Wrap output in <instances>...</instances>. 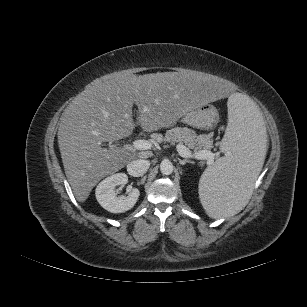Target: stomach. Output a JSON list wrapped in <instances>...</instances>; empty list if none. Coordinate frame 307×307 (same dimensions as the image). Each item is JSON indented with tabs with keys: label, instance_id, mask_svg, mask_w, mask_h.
Masks as SVG:
<instances>
[{
	"label": "stomach",
	"instance_id": "obj_1",
	"mask_svg": "<svg viewBox=\"0 0 307 307\" xmlns=\"http://www.w3.org/2000/svg\"><path fill=\"white\" fill-rule=\"evenodd\" d=\"M218 120V111L210 104H202L190 109L181 119L183 123L200 129L212 128Z\"/></svg>",
	"mask_w": 307,
	"mask_h": 307
}]
</instances>
